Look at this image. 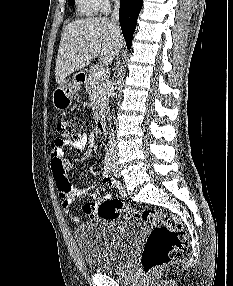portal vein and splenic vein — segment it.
<instances>
[{"label":"portal vein and splenic vein","instance_id":"1","mask_svg":"<svg viewBox=\"0 0 233 286\" xmlns=\"http://www.w3.org/2000/svg\"><path fill=\"white\" fill-rule=\"evenodd\" d=\"M95 77L98 79H103L106 77V70L102 66H98L95 71Z\"/></svg>","mask_w":233,"mask_h":286}]
</instances>
